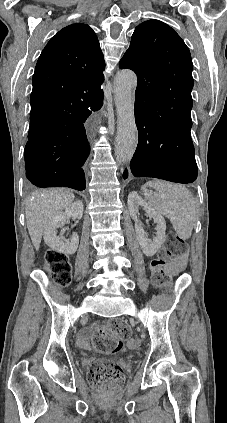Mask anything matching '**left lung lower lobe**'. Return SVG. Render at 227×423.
Wrapping results in <instances>:
<instances>
[{
	"label": "left lung lower lobe",
	"mask_w": 227,
	"mask_h": 423,
	"mask_svg": "<svg viewBox=\"0 0 227 423\" xmlns=\"http://www.w3.org/2000/svg\"><path fill=\"white\" fill-rule=\"evenodd\" d=\"M138 145L130 162L135 177L192 183L197 164L191 139V111H149L135 108ZM128 172L123 174L127 178Z\"/></svg>",
	"instance_id": "left-lung-lower-lobe-1"
}]
</instances>
